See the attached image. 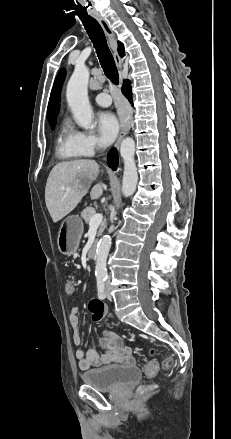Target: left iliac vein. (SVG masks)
<instances>
[{"label":"left iliac vein","mask_w":231,"mask_h":439,"mask_svg":"<svg viewBox=\"0 0 231 439\" xmlns=\"http://www.w3.org/2000/svg\"><path fill=\"white\" fill-rule=\"evenodd\" d=\"M105 293H106V297H107L109 300H111V299H112V296H111V293H110V285H109L108 282L105 284Z\"/></svg>","instance_id":"1"}]
</instances>
